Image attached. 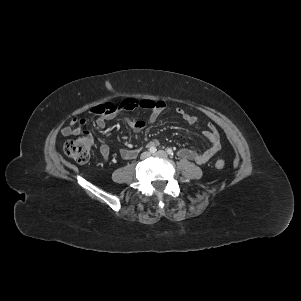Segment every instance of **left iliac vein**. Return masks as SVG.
<instances>
[{
	"mask_svg": "<svg viewBox=\"0 0 301 301\" xmlns=\"http://www.w3.org/2000/svg\"><path fill=\"white\" fill-rule=\"evenodd\" d=\"M153 155L156 156V157H161V158H167L168 157L167 153L163 150H159L156 153H154Z\"/></svg>",
	"mask_w": 301,
	"mask_h": 301,
	"instance_id": "left-iliac-vein-1",
	"label": "left iliac vein"
}]
</instances>
